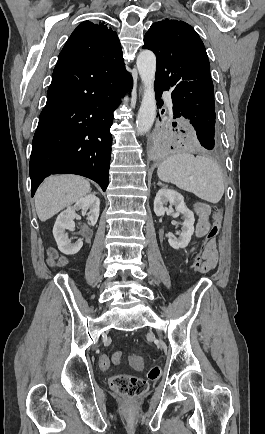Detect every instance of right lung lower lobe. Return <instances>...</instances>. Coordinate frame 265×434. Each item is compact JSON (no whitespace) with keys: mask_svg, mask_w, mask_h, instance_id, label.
I'll return each instance as SVG.
<instances>
[{"mask_svg":"<svg viewBox=\"0 0 265 434\" xmlns=\"http://www.w3.org/2000/svg\"><path fill=\"white\" fill-rule=\"evenodd\" d=\"M132 82L122 55L58 60L30 158L32 196L50 174H78L108 186L113 111Z\"/></svg>","mask_w":265,"mask_h":434,"instance_id":"right-lung-lower-lobe-1","label":"right lung lower lobe"}]
</instances>
